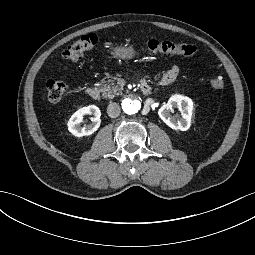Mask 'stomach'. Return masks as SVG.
<instances>
[{
	"instance_id": "1",
	"label": "stomach",
	"mask_w": 255,
	"mask_h": 255,
	"mask_svg": "<svg viewBox=\"0 0 255 255\" xmlns=\"http://www.w3.org/2000/svg\"><path fill=\"white\" fill-rule=\"evenodd\" d=\"M111 54L114 58L128 60L134 58L136 52L132 46L121 45L112 48Z\"/></svg>"
}]
</instances>
